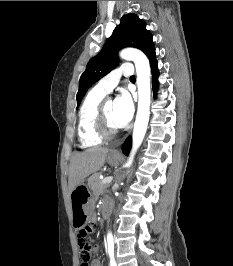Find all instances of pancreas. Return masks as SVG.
<instances>
[{
  "instance_id": "obj_1",
  "label": "pancreas",
  "mask_w": 233,
  "mask_h": 266,
  "mask_svg": "<svg viewBox=\"0 0 233 266\" xmlns=\"http://www.w3.org/2000/svg\"><path fill=\"white\" fill-rule=\"evenodd\" d=\"M88 185L96 196L103 193L104 189L107 187V184H102V180L99 178L98 174H95L90 178Z\"/></svg>"
}]
</instances>
